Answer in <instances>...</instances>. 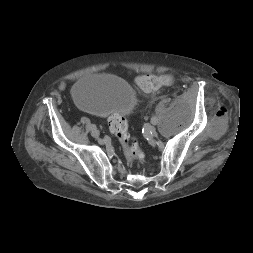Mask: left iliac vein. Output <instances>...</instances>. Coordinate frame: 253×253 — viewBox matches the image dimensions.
Segmentation results:
<instances>
[{
    "label": "left iliac vein",
    "mask_w": 253,
    "mask_h": 253,
    "mask_svg": "<svg viewBox=\"0 0 253 253\" xmlns=\"http://www.w3.org/2000/svg\"><path fill=\"white\" fill-rule=\"evenodd\" d=\"M149 128H150V129H149L150 134H151L152 136H155V135H156V129H155V127L149 125Z\"/></svg>",
    "instance_id": "4c4485c4"
}]
</instances>
